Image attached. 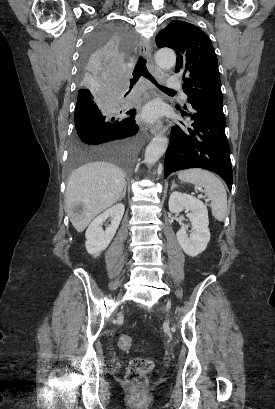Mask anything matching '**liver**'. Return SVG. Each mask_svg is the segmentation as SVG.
I'll list each match as a JSON object with an SVG mask.
<instances>
[{
	"label": "liver",
	"instance_id": "liver-1",
	"mask_svg": "<svg viewBox=\"0 0 275 409\" xmlns=\"http://www.w3.org/2000/svg\"><path fill=\"white\" fill-rule=\"evenodd\" d=\"M126 184L125 174L111 162H87L70 174L66 188V205L70 209L74 202H83L85 217L71 221L78 233H82L94 217L117 202Z\"/></svg>",
	"mask_w": 275,
	"mask_h": 409
}]
</instances>
